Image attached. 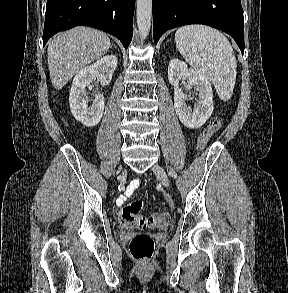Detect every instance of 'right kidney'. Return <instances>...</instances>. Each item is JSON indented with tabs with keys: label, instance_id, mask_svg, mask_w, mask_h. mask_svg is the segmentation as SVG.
<instances>
[{
	"label": "right kidney",
	"instance_id": "right-kidney-1",
	"mask_svg": "<svg viewBox=\"0 0 288 293\" xmlns=\"http://www.w3.org/2000/svg\"><path fill=\"white\" fill-rule=\"evenodd\" d=\"M117 66V58L114 55L105 56L90 66L81 69L74 77L70 89L69 104L73 116L88 127L97 125L104 112V97L96 94L91 106H88L89 98L86 95V87L96 77L102 86L108 85Z\"/></svg>",
	"mask_w": 288,
	"mask_h": 293
}]
</instances>
